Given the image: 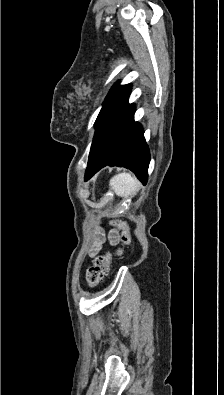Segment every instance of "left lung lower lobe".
<instances>
[{"instance_id": "1", "label": "left lung lower lobe", "mask_w": 224, "mask_h": 395, "mask_svg": "<svg viewBox=\"0 0 224 395\" xmlns=\"http://www.w3.org/2000/svg\"><path fill=\"white\" fill-rule=\"evenodd\" d=\"M128 85L100 111L95 122L96 132L91 146L85 178L89 179L102 167L120 166L132 170L145 184L150 154L141 125L134 121L135 107L128 103Z\"/></svg>"}]
</instances>
